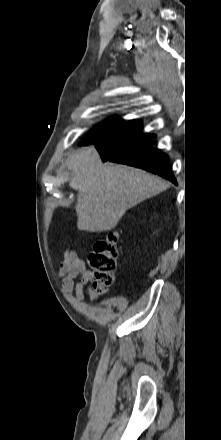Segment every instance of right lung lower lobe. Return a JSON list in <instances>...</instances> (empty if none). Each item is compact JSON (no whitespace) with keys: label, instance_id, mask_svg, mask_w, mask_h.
<instances>
[{"label":"right lung lower lobe","instance_id":"right-lung-lower-lobe-1","mask_svg":"<svg viewBox=\"0 0 221 440\" xmlns=\"http://www.w3.org/2000/svg\"><path fill=\"white\" fill-rule=\"evenodd\" d=\"M142 129L141 121H127L97 141L95 147L102 155V160L142 168L177 184L168 156L149 145L154 135H144Z\"/></svg>","mask_w":221,"mask_h":440}]
</instances>
